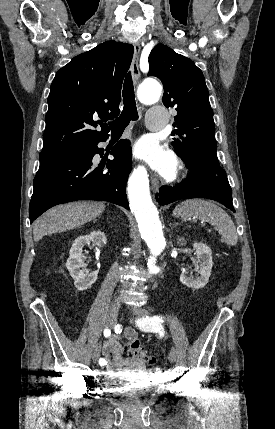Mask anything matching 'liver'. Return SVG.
I'll use <instances>...</instances> for the list:
<instances>
[{
    "label": "liver",
    "mask_w": 275,
    "mask_h": 429,
    "mask_svg": "<svg viewBox=\"0 0 275 429\" xmlns=\"http://www.w3.org/2000/svg\"><path fill=\"white\" fill-rule=\"evenodd\" d=\"M105 209L102 202H74L56 206L33 224V236L37 242L43 236L72 230L99 216Z\"/></svg>",
    "instance_id": "6515ba94"
}]
</instances>
